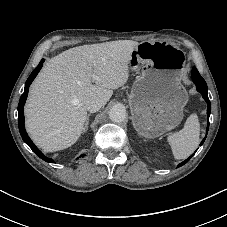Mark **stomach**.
Masks as SVG:
<instances>
[{"label":"stomach","mask_w":227,"mask_h":227,"mask_svg":"<svg viewBox=\"0 0 227 227\" xmlns=\"http://www.w3.org/2000/svg\"><path fill=\"white\" fill-rule=\"evenodd\" d=\"M185 54L163 42L145 41L133 50L132 71L139 72L129 96L132 123L146 138H156L183 119L188 95L181 84Z\"/></svg>","instance_id":"0dacf381"}]
</instances>
